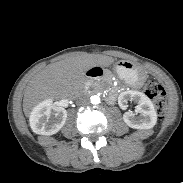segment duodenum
Returning <instances> with one entry per match:
<instances>
[{
  "label": "duodenum",
  "mask_w": 183,
  "mask_h": 183,
  "mask_svg": "<svg viewBox=\"0 0 183 183\" xmlns=\"http://www.w3.org/2000/svg\"><path fill=\"white\" fill-rule=\"evenodd\" d=\"M104 75V70L100 66H93L86 71V76L89 80L94 81L101 78ZM109 101L113 100V96L108 97Z\"/></svg>",
  "instance_id": "1"
}]
</instances>
